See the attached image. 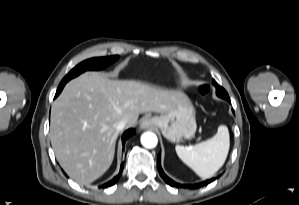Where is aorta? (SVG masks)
<instances>
[{
  "instance_id": "aorta-1",
  "label": "aorta",
  "mask_w": 299,
  "mask_h": 205,
  "mask_svg": "<svg viewBox=\"0 0 299 205\" xmlns=\"http://www.w3.org/2000/svg\"><path fill=\"white\" fill-rule=\"evenodd\" d=\"M158 143L157 136L152 132H145L141 136V144L146 148H154Z\"/></svg>"
}]
</instances>
